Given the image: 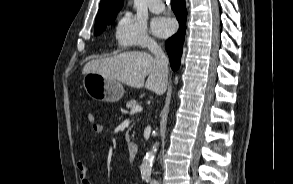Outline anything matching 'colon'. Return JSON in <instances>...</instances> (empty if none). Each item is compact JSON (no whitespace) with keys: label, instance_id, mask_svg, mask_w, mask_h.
Instances as JSON below:
<instances>
[{"label":"colon","instance_id":"obj_1","mask_svg":"<svg viewBox=\"0 0 293 184\" xmlns=\"http://www.w3.org/2000/svg\"><path fill=\"white\" fill-rule=\"evenodd\" d=\"M87 119H88V121H89L90 123H94V122H95V116H94V114H93V113H89V114L87 115Z\"/></svg>","mask_w":293,"mask_h":184}]
</instances>
